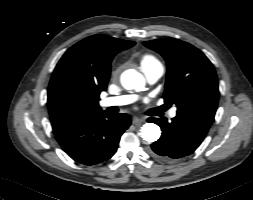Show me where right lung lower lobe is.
Segmentation results:
<instances>
[{"instance_id":"1","label":"right lung lower lobe","mask_w":253,"mask_h":200,"mask_svg":"<svg viewBox=\"0 0 253 200\" xmlns=\"http://www.w3.org/2000/svg\"><path fill=\"white\" fill-rule=\"evenodd\" d=\"M127 114L105 112L54 129L64 151L75 161L93 165L111 158L123 132L130 126Z\"/></svg>"}]
</instances>
